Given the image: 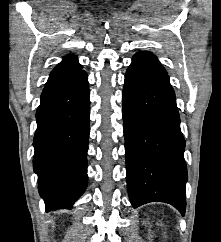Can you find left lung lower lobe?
Wrapping results in <instances>:
<instances>
[{
	"instance_id": "1",
	"label": "left lung lower lobe",
	"mask_w": 221,
	"mask_h": 242,
	"mask_svg": "<svg viewBox=\"0 0 221 242\" xmlns=\"http://www.w3.org/2000/svg\"><path fill=\"white\" fill-rule=\"evenodd\" d=\"M122 101L126 181L132 206L166 202L184 215L185 140L171 84L130 65Z\"/></svg>"
}]
</instances>
